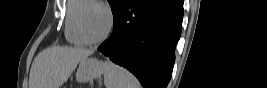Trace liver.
Instances as JSON below:
<instances>
[{"mask_svg":"<svg viewBox=\"0 0 267 88\" xmlns=\"http://www.w3.org/2000/svg\"><path fill=\"white\" fill-rule=\"evenodd\" d=\"M93 50L54 46L40 52L32 63L29 88H60L77 64Z\"/></svg>","mask_w":267,"mask_h":88,"instance_id":"obj_1","label":"liver"}]
</instances>
